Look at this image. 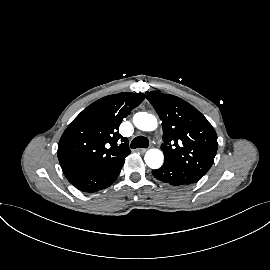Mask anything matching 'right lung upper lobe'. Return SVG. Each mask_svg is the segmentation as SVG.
<instances>
[{"mask_svg": "<svg viewBox=\"0 0 270 270\" xmlns=\"http://www.w3.org/2000/svg\"><path fill=\"white\" fill-rule=\"evenodd\" d=\"M144 98L143 93L130 92L103 97L69 124L57 151L67 179L110 167L130 154L127 138L118 133L119 125Z\"/></svg>", "mask_w": 270, "mask_h": 270, "instance_id": "right-lung-upper-lobe-1", "label": "right lung upper lobe"}]
</instances>
